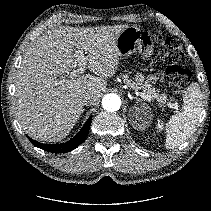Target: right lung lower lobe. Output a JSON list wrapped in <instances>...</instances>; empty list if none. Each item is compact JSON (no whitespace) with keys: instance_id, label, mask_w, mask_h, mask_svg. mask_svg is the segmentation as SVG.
<instances>
[{"instance_id":"1","label":"right lung lower lobe","mask_w":211,"mask_h":211,"mask_svg":"<svg viewBox=\"0 0 211 211\" xmlns=\"http://www.w3.org/2000/svg\"><path fill=\"white\" fill-rule=\"evenodd\" d=\"M92 116L88 119L84 127L71 140L61 144H42L29 138L31 143L47 152L51 153H66L78 147L87 137L91 125Z\"/></svg>"}]
</instances>
